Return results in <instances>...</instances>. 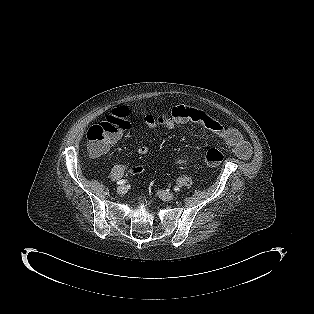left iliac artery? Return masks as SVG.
<instances>
[{"label":"left iliac artery","instance_id":"obj_1","mask_svg":"<svg viewBox=\"0 0 314 314\" xmlns=\"http://www.w3.org/2000/svg\"><path fill=\"white\" fill-rule=\"evenodd\" d=\"M174 191H175V192H179V191H180V188L176 186V187H174Z\"/></svg>","mask_w":314,"mask_h":314}]
</instances>
